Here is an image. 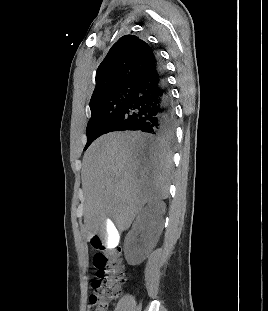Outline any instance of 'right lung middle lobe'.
I'll list each match as a JSON object with an SVG mask.
<instances>
[{
  "instance_id": "obj_1",
  "label": "right lung middle lobe",
  "mask_w": 268,
  "mask_h": 311,
  "mask_svg": "<svg viewBox=\"0 0 268 311\" xmlns=\"http://www.w3.org/2000/svg\"><path fill=\"white\" fill-rule=\"evenodd\" d=\"M134 85L126 86L106 94L89 104L91 118L86 128L88 146L98 137L106 134L108 127L123 111L134 93Z\"/></svg>"
}]
</instances>
